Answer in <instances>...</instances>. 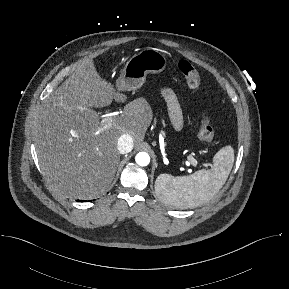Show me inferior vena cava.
<instances>
[{"mask_svg":"<svg viewBox=\"0 0 289 289\" xmlns=\"http://www.w3.org/2000/svg\"><path fill=\"white\" fill-rule=\"evenodd\" d=\"M117 149L120 154H126L133 149V138L130 134H123L119 137L117 142Z\"/></svg>","mask_w":289,"mask_h":289,"instance_id":"obj_1","label":"inferior vena cava"}]
</instances>
